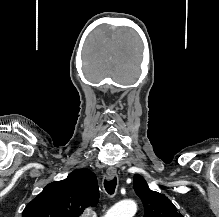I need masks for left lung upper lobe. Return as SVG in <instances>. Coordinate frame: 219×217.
Returning a JSON list of instances; mask_svg holds the SVG:
<instances>
[{"instance_id":"1","label":"left lung upper lobe","mask_w":219,"mask_h":217,"mask_svg":"<svg viewBox=\"0 0 219 217\" xmlns=\"http://www.w3.org/2000/svg\"><path fill=\"white\" fill-rule=\"evenodd\" d=\"M133 184L143 202L145 217H183L165 195L150 190L142 176L135 175Z\"/></svg>"}]
</instances>
